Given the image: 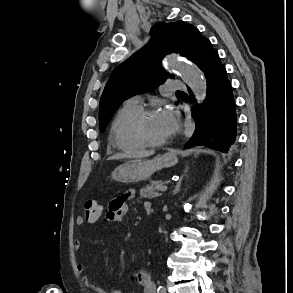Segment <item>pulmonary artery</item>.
Masks as SVG:
<instances>
[{
  "label": "pulmonary artery",
  "mask_w": 293,
  "mask_h": 293,
  "mask_svg": "<svg viewBox=\"0 0 293 293\" xmlns=\"http://www.w3.org/2000/svg\"><path fill=\"white\" fill-rule=\"evenodd\" d=\"M185 88V85L182 84L181 82H178V81H171L168 83V89L169 90H182ZM142 102V99L140 96H135V97H132L130 99L127 100L126 103L128 104H132V105H136V106H140Z\"/></svg>",
  "instance_id": "pulmonary-artery-1"
}]
</instances>
